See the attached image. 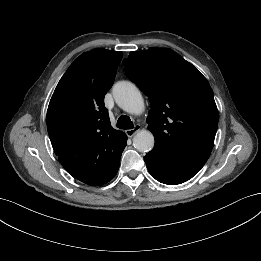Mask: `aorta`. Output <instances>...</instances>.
<instances>
[{
  "mask_svg": "<svg viewBox=\"0 0 261 261\" xmlns=\"http://www.w3.org/2000/svg\"><path fill=\"white\" fill-rule=\"evenodd\" d=\"M113 96L117 105L129 114L139 115L144 109V100L139 89L131 82L121 81L114 85ZM154 136L148 130H140L133 138L139 152H148L154 146Z\"/></svg>",
  "mask_w": 261,
  "mask_h": 261,
  "instance_id": "762f6f07",
  "label": "aorta"
}]
</instances>
